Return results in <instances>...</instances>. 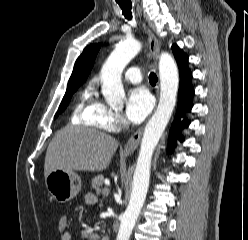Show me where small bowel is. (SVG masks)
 <instances>
[{"label": "small bowel", "instance_id": "c3829d8e", "mask_svg": "<svg viewBox=\"0 0 248 240\" xmlns=\"http://www.w3.org/2000/svg\"><path fill=\"white\" fill-rule=\"evenodd\" d=\"M85 199H86V202L88 204H92L96 200L92 194H87ZM60 240H73V235H72L71 231L67 230V231L61 233Z\"/></svg>", "mask_w": 248, "mask_h": 240}]
</instances>
